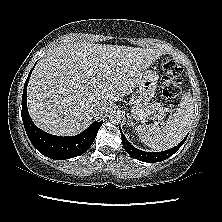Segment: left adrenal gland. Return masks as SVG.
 Returning <instances> with one entry per match:
<instances>
[{"mask_svg": "<svg viewBox=\"0 0 222 222\" xmlns=\"http://www.w3.org/2000/svg\"><path fill=\"white\" fill-rule=\"evenodd\" d=\"M127 117H128V123H127V124H128L129 126H133L132 116L128 113V114H127Z\"/></svg>", "mask_w": 222, "mask_h": 222, "instance_id": "left-adrenal-gland-1", "label": "left adrenal gland"}]
</instances>
